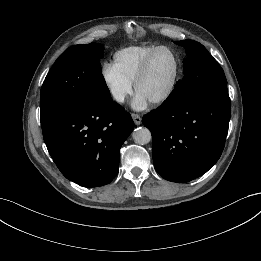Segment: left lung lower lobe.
I'll use <instances>...</instances> for the list:
<instances>
[{
	"instance_id": "left-lung-lower-lobe-1",
	"label": "left lung lower lobe",
	"mask_w": 261,
	"mask_h": 261,
	"mask_svg": "<svg viewBox=\"0 0 261 261\" xmlns=\"http://www.w3.org/2000/svg\"><path fill=\"white\" fill-rule=\"evenodd\" d=\"M226 85L200 91L183 103L170 98L146 114L142 123L152 134L156 171L184 183L207 172L219 159L230 120Z\"/></svg>"
}]
</instances>
